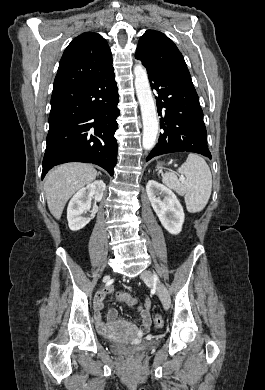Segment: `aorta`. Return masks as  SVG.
<instances>
[{"mask_svg": "<svg viewBox=\"0 0 265 390\" xmlns=\"http://www.w3.org/2000/svg\"><path fill=\"white\" fill-rule=\"evenodd\" d=\"M134 75L135 89L140 103L143 120L142 145L145 150H150L155 145L159 127L156 107L150 89L147 72L142 64L139 63L135 65Z\"/></svg>", "mask_w": 265, "mask_h": 390, "instance_id": "762f6f07", "label": "aorta"}]
</instances>
